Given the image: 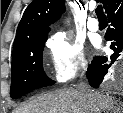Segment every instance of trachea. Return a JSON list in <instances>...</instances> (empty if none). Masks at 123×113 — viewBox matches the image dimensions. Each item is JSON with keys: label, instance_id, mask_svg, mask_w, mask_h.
Masks as SVG:
<instances>
[{"label": "trachea", "instance_id": "3493384b", "mask_svg": "<svg viewBox=\"0 0 123 113\" xmlns=\"http://www.w3.org/2000/svg\"><path fill=\"white\" fill-rule=\"evenodd\" d=\"M95 12H96V15L98 16V18H105L102 5H98Z\"/></svg>", "mask_w": 123, "mask_h": 113}]
</instances>
